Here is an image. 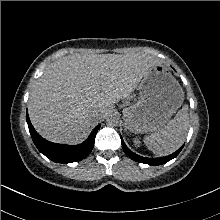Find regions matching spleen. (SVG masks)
I'll return each instance as SVG.
<instances>
[{"instance_id":"spleen-1","label":"spleen","mask_w":220,"mask_h":220,"mask_svg":"<svg viewBox=\"0 0 220 220\" xmlns=\"http://www.w3.org/2000/svg\"><path fill=\"white\" fill-rule=\"evenodd\" d=\"M188 129V106L184 105L164 128L144 137V143L154 154L165 156L175 152L184 143Z\"/></svg>"}]
</instances>
